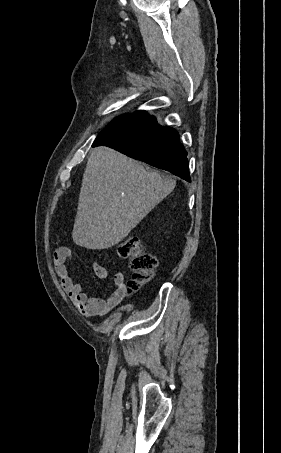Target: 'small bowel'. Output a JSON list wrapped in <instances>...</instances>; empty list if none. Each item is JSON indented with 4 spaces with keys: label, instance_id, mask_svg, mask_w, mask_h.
Listing matches in <instances>:
<instances>
[{
    "label": "small bowel",
    "instance_id": "obj_1",
    "mask_svg": "<svg viewBox=\"0 0 281 453\" xmlns=\"http://www.w3.org/2000/svg\"><path fill=\"white\" fill-rule=\"evenodd\" d=\"M73 252L69 248H61L55 252L54 263L63 288L70 294L76 303H84L82 311L86 317H97L107 314L116 305L125 300L128 287L125 282V273L118 271L114 275L115 289L107 299L89 298L80 284L75 283L68 271ZM92 272L98 279H107L109 271L97 261L91 263Z\"/></svg>",
    "mask_w": 281,
    "mask_h": 453
}]
</instances>
